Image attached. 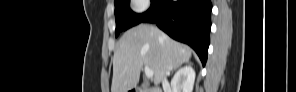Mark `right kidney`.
I'll return each mask as SVG.
<instances>
[{
    "mask_svg": "<svg viewBox=\"0 0 296 92\" xmlns=\"http://www.w3.org/2000/svg\"><path fill=\"white\" fill-rule=\"evenodd\" d=\"M195 76V71L191 65L179 69L171 81L172 92H192Z\"/></svg>",
    "mask_w": 296,
    "mask_h": 92,
    "instance_id": "1",
    "label": "right kidney"
}]
</instances>
